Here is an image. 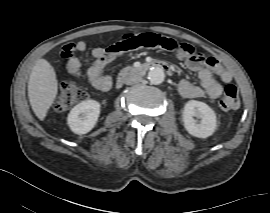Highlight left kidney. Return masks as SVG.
Returning <instances> with one entry per match:
<instances>
[{
	"label": "left kidney",
	"instance_id": "1",
	"mask_svg": "<svg viewBox=\"0 0 270 213\" xmlns=\"http://www.w3.org/2000/svg\"><path fill=\"white\" fill-rule=\"evenodd\" d=\"M183 125L187 132L198 138L211 136L217 127V118L214 110L206 103L190 100L183 109ZM200 118V123L194 119Z\"/></svg>",
	"mask_w": 270,
	"mask_h": 213
}]
</instances>
